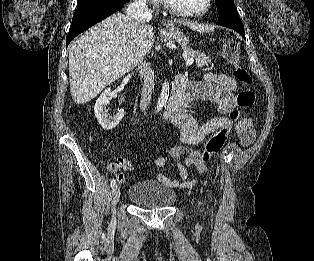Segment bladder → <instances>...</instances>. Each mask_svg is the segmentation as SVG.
Wrapping results in <instances>:
<instances>
[{"instance_id":"obj_1","label":"bladder","mask_w":314,"mask_h":261,"mask_svg":"<svg viewBox=\"0 0 314 261\" xmlns=\"http://www.w3.org/2000/svg\"><path fill=\"white\" fill-rule=\"evenodd\" d=\"M128 198L142 208L163 209L170 207L175 202L176 192L159 181H142L130 187Z\"/></svg>"}]
</instances>
